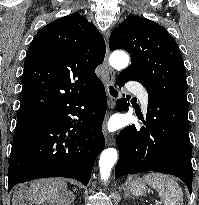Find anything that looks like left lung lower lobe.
<instances>
[{
	"mask_svg": "<svg viewBox=\"0 0 199 205\" xmlns=\"http://www.w3.org/2000/svg\"><path fill=\"white\" fill-rule=\"evenodd\" d=\"M130 80L136 79L130 74L118 76L116 82L121 87ZM129 98L118 100L116 110H126ZM148 98L146 127L132 124L117 137L120 156L115 180L125 174L162 172L179 177L191 193L193 168L188 108L151 94Z\"/></svg>",
	"mask_w": 199,
	"mask_h": 205,
	"instance_id": "obj_1",
	"label": "left lung lower lobe"
}]
</instances>
